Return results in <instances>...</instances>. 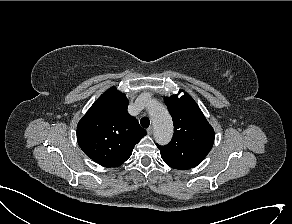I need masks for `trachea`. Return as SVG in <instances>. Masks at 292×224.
I'll return each instance as SVG.
<instances>
[{"instance_id":"3493384b","label":"trachea","mask_w":292,"mask_h":224,"mask_svg":"<svg viewBox=\"0 0 292 224\" xmlns=\"http://www.w3.org/2000/svg\"><path fill=\"white\" fill-rule=\"evenodd\" d=\"M140 124H141L142 127H144V128L149 127V125H150V120H149V118H147V117H143V118L140 120Z\"/></svg>"}]
</instances>
